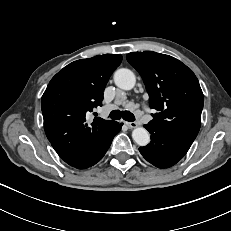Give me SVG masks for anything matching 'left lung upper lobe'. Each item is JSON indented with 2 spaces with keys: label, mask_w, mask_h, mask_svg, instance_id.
Segmentation results:
<instances>
[{
  "label": "left lung upper lobe",
  "mask_w": 231,
  "mask_h": 231,
  "mask_svg": "<svg viewBox=\"0 0 231 231\" xmlns=\"http://www.w3.org/2000/svg\"><path fill=\"white\" fill-rule=\"evenodd\" d=\"M126 58L143 78L150 107L158 111L148 124L191 145L200 129L204 103L195 74L165 54L132 52Z\"/></svg>",
  "instance_id": "left-lung-upper-lobe-1"
}]
</instances>
